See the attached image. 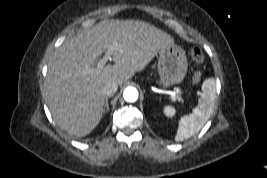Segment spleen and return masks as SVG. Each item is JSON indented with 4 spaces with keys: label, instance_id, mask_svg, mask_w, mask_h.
I'll list each match as a JSON object with an SVG mask.
<instances>
[{
    "label": "spleen",
    "instance_id": "3e777b00",
    "mask_svg": "<svg viewBox=\"0 0 267 178\" xmlns=\"http://www.w3.org/2000/svg\"><path fill=\"white\" fill-rule=\"evenodd\" d=\"M215 97V81L209 78L202 85V93L197 107L193 109L191 114L180 118L175 135L176 141L188 139L201 130L212 113ZM175 112V108L172 106H165L163 108V113L169 118L173 117Z\"/></svg>",
    "mask_w": 267,
    "mask_h": 178
}]
</instances>
